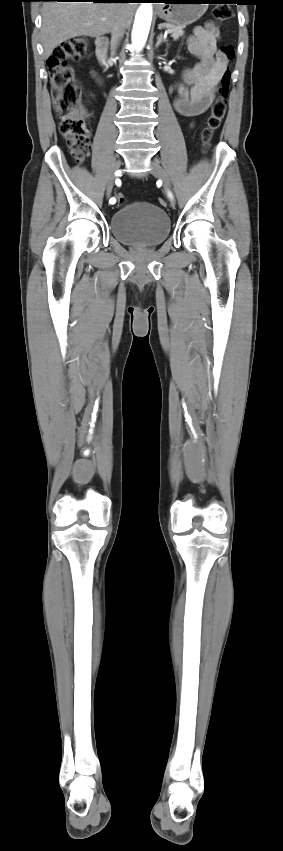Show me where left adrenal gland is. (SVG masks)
Listing matches in <instances>:
<instances>
[{
	"instance_id": "1",
	"label": "left adrenal gland",
	"mask_w": 283,
	"mask_h": 851,
	"mask_svg": "<svg viewBox=\"0 0 283 851\" xmlns=\"http://www.w3.org/2000/svg\"><path fill=\"white\" fill-rule=\"evenodd\" d=\"M162 42H168V39H166L165 37H163V33H160V34H159V36L157 37V43H156L155 47H156V48H158V47H159V45H160ZM166 55H167V52H166Z\"/></svg>"
}]
</instances>
